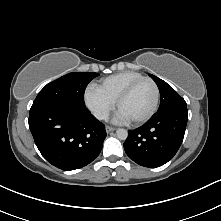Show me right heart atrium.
Listing matches in <instances>:
<instances>
[{"label":"right heart atrium","mask_w":221,"mask_h":221,"mask_svg":"<svg viewBox=\"0 0 221 221\" xmlns=\"http://www.w3.org/2000/svg\"><path fill=\"white\" fill-rule=\"evenodd\" d=\"M84 101L93 115L105 120L114 108V102L102 94L96 87H88L84 92Z\"/></svg>","instance_id":"obj_1"}]
</instances>
